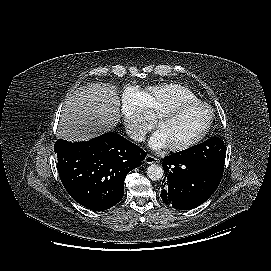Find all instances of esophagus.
Here are the masks:
<instances>
[{
	"label": "esophagus",
	"instance_id": "34e87169",
	"mask_svg": "<svg viewBox=\"0 0 271 271\" xmlns=\"http://www.w3.org/2000/svg\"><path fill=\"white\" fill-rule=\"evenodd\" d=\"M147 164L159 163L160 160L152 155H147L144 160Z\"/></svg>",
	"mask_w": 271,
	"mask_h": 271
}]
</instances>
